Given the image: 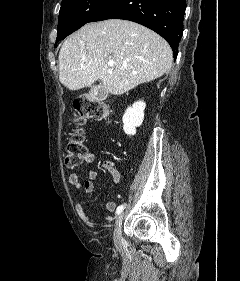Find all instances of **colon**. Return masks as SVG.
<instances>
[{
    "label": "colon",
    "instance_id": "1",
    "mask_svg": "<svg viewBox=\"0 0 240 281\" xmlns=\"http://www.w3.org/2000/svg\"><path fill=\"white\" fill-rule=\"evenodd\" d=\"M73 108L72 121L77 127L73 130L65 148V164L70 168L80 166L88 153L81 127L87 120H105L110 114V105L103 100L76 99Z\"/></svg>",
    "mask_w": 240,
    "mask_h": 281
}]
</instances>
